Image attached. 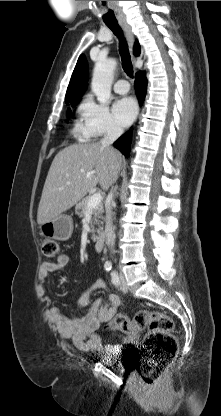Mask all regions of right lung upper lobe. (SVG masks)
Masks as SVG:
<instances>
[{
  "instance_id": "right-lung-upper-lobe-1",
  "label": "right lung upper lobe",
  "mask_w": 221,
  "mask_h": 416,
  "mask_svg": "<svg viewBox=\"0 0 221 416\" xmlns=\"http://www.w3.org/2000/svg\"><path fill=\"white\" fill-rule=\"evenodd\" d=\"M134 53L136 56L140 54V45L138 42L135 43ZM87 78V62L85 57L83 55H80L67 89V93L65 96L66 103H71L80 100L82 94L86 89Z\"/></svg>"
}]
</instances>
